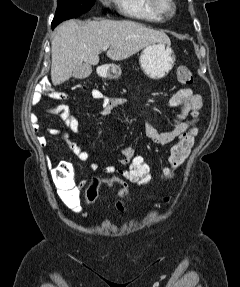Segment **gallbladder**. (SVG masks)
<instances>
[{"label": "gallbladder", "mask_w": 240, "mask_h": 287, "mask_svg": "<svg viewBox=\"0 0 240 287\" xmlns=\"http://www.w3.org/2000/svg\"><path fill=\"white\" fill-rule=\"evenodd\" d=\"M92 72V68L89 64L82 63L73 71L72 76L76 79H85Z\"/></svg>", "instance_id": "bac80fb5"}]
</instances>
